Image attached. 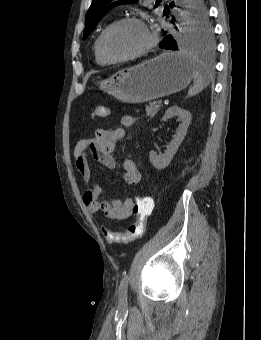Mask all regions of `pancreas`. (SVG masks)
I'll return each mask as SVG.
<instances>
[{"label":"pancreas","instance_id":"cf45deb5","mask_svg":"<svg viewBox=\"0 0 261 340\" xmlns=\"http://www.w3.org/2000/svg\"><path fill=\"white\" fill-rule=\"evenodd\" d=\"M160 105L158 102H151L146 106V115L150 118H153L159 111Z\"/></svg>","mask_w":261,"mask_h":340}]
</instances>
